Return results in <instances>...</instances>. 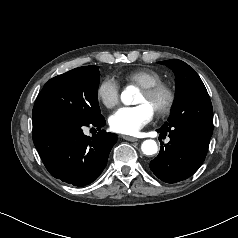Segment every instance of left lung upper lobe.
<instances>
[{"label": "left lung upper lobe", "instance_id": "left-lung-upper-lobe-1", "mask_svg": "<svg viewBox=\"0 0 238 238\" xmlns=\"http://www.w3.org/2000/svg\"><path fill=\"white\" fill-rule=\"evenodd\" d=\"M176 75V97L169 120L161 127L183 125L213 131V108L199 75L178 59L160 61Z\"/></svg>", "mask_w": 238, "mask_h": 238}]
</instances>
